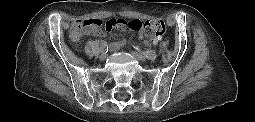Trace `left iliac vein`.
Listing matches in <instances>:
<instances>
[{
  "label": "left iliac vein",
  "instance_id": "left-iliac-vein-1",
  "mask_svg": "<svg viewBox=\"0 0 255 122\" xmlns=\"http://www.w3.org/2000/svg\"><path fill=\"white\" fill-rule=\"evenodd\" d=\"M134 56L141 62H146L147 58L138 52H133Z\"/></svg>",
  "mask_w": 255,
  "mask_h": 122
}]
</instances>
